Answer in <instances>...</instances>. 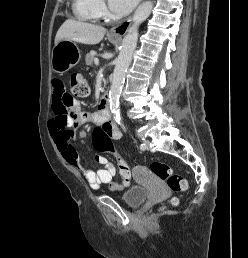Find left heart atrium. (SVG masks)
Returning <instances> with one entry per match:
<instances>
[{"label":"left heart atrium","instance_id":"39dd6f15","mask_svg":"<svg viewBox=\"0 0 248 258\" xmlns=\"http://www.w3.org/2000/svg\"><path fill=\"white\" fill-rule=\"evenodd\" d=\"M139 0H109L112 11L118 15H125L130 12Z\"/></svg>","mask_w":248,"mask_h":258}]
</instances>
